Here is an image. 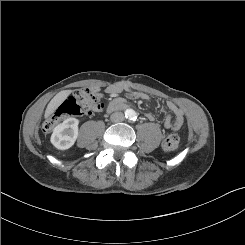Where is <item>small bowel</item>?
Masks as SVG:
<instances>
[{"instance_id":"1","label":"small bowel","mask_w":245,"mask_h":245,"mask_svg":"<svg viewBox=\"0 0 245 245\" xmlns=\"http://www.w3.org/2000/svg\"><path fill=\"white\" fill-rule=\"evenodd\" d=\"M122 91H126V96L129 99L147 100L149 98V96L146 93L133 91L126 84L111 85L106 88V93H108L111 96H116ZM122 105H125V100L121 97H115L109 104V110H118V107ZM167 107L169 109V113L166 115L164 127L168 130H179L184 122V111L173 102H168ZM172 115H174L175 117L174 120L172 119ZM146 116L150 120L154 118L153 114L151 113H148Z\"/></svg>"}]
</instances>
